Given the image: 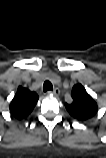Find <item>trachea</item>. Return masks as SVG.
<instances>
[{
  "label": "trachea",
  "mask_w": 106,
  "mask_h": 158,
  "mask_svg": "<svg viewBox=\"0 0 106 158\" xmlns=\"http://www.w3.org/2000/svg\"><path fill=\"white\" fill-rule=\"evenodd\" d=\"M43 91H53V85L50 81H45L43 84Z\"/></svg>",
  "instance_id": "1"
}]
</instances>
